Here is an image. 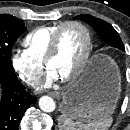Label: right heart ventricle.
Wrapping results in <instances>:
<instances>
[{"label": "right heart ventricle", "mask_w": 130, "mask_h": 130, "mask_svg": "<svg viewBox=\"0 0 130 130\" xmlns=\"http://www.w3.org/2000/svg\"><path fill=\"white\" fill-rule=\"evenodd\" d=\"M62 23L43 25L31 30L23 39V45L29 55L38 62H43L51 39Z\"/></svg>", "instance_id": "e07e8e85"}]
</instances>
